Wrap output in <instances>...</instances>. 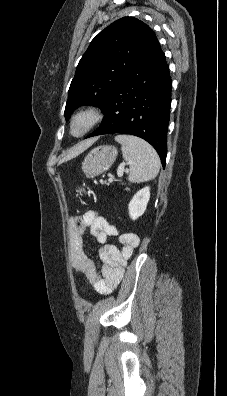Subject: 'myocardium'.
I'll list each match as a JSON object with an SVG mask.
<instances>
[{"mask_svg": "<svg viewBox=\"0 0 227 396\" xmlns=\"http://www.w3.org/2000/svg\"><path fill=\"white\" fill-rule=\"evenodd\" d=\"M104 117L103 110L97 105H87L76 110L70 117L68 127L69 132L74 137H82L96 127ZM82 123V129L79 132L74 131L77 123Z\"/></svg>", "mask_w": 227, "mask_h": 396, "instance_id": "obj_1", "label": "myocardium"}]
</instances>
